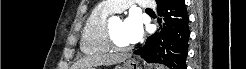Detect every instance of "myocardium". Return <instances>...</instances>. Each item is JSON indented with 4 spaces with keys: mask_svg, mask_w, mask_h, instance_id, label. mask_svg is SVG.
<instances>
[{
    "mask_svg": "<svg viewBox=\"0 0 246 69\" xmlns=\"http://www.w3.org/2000/svg\"><path fill=\"white\" fill-rule=\"evenodd\" d=\"M106 35H107V41L109 45L114 49H128L131 47L130 45L128 46L121 45L119 44L118 41L114 39L113 34H112V29H111V23L108 24Z\"/></svg>",
    "mask_w": 246,
    "mask_h": 69,
    "instance_id": "f54148a6",
    "label": "myocardium"
}]
</instances>
